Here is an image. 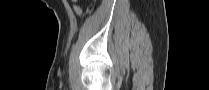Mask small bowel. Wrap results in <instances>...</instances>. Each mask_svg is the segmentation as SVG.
Instances as JSON below:
<instances>
[{"mask_svg":"<svg viewBox=\"0 0 209 90\" xmlns=\"http://www.w3.org/2000/svg\"><path fill=\"white\" fill-rule=\"evenodd\" d=\"M74 11H75V13L78 14V15L81 14V9H80L78 6H76V5H74Z\"/></svg>","mask_w":209,"mask_h":90,"instance_id":"1","label":"small bowel"}]
</instances>
